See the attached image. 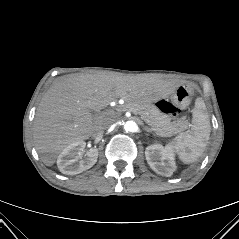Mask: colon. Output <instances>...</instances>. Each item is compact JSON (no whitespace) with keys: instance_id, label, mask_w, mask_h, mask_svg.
<instances>
[{"instance_id":"obj_1","label":"colon","mask_w":239,"mask_h":239,"mask_svg":"<svg viewBox=\"0 0 239 239\" xmlns=\"http://www.w3.org/2000/svg\"><path fill=\"white\" fill-rule=\"evenodd\" d=\"M158 106L162 112H164L165 114L171 117H175L178 114L177 107L173 105L172 103H170L169 101L161 100L158 103Z\"/></svg>"}]
</instances>
